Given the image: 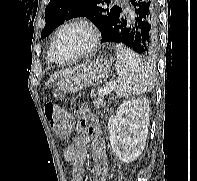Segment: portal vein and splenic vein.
<instances>
[{
  "label": "portal vein and splenic vein",
  "instance_id": "18ae733b",
  "mask_svg": "<svg viewBox=\"0 0 197 181\" xmlns=\"http://www.w3.org/2000/svg\"><path fill=\"white\" fill-rule=\"evenodd\" d=\"M113 89H114V86L110 84L104 88H101L98 92V95L99 97H104L106 94L112 92Z\"/></svg>",
  "mask_w": 197,
  "mask_h": 181
}]
</instances>
